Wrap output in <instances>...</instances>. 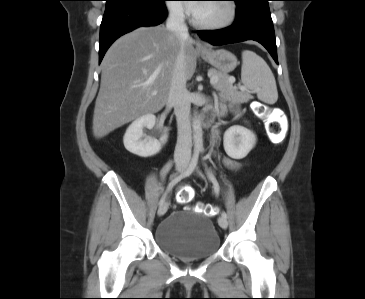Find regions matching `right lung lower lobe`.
Here are the masks:
<instances>
[{
	"label": "right lung lower lobe",
	"mask_w": 365,
	"mask_h": 299,
	"mask_svg": "<svg viewBox=\"0 0 365 299\" xmlns=\"http://www.w3.org/2000/svg\"><path fill=\"white\" fill-rule=\"evenodd\" d=\"M166 16L164 1H132L106 6L100 26L99 63L117 38L140 26H156Z\"/></svg>",
	"instance_id": "obj_1"
}]
</instances>
